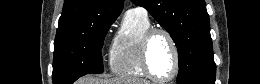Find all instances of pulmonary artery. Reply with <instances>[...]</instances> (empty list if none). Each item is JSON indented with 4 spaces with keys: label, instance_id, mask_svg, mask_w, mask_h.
I'll return each mask as SVG.
<instances>
[{
    "label": "pulmonary artery",
    "instance_id": "e3ab8cb5",
    "mask_svg": "<svg viewBox=\"0 0 260 84\" xmlns=\"http://www.w3.org/2000/svg\"><path fill=\"white\" fill-rule=\"evenodd\" d=\"M142 10L147 14V12L144 9H142Z\"/></svg>",
    "mask_w": 260,
    "mask_h": 84
}]
</instances>
